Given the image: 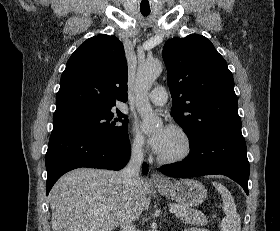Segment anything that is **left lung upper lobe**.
I'll use <instances>...</instances> for the list:
<instances>
[{"instance_id": "left-lung-upper-lobe-1", "label": "left lung upper lobe", "mask_w": 280, "mask_h": 231, "mask_svg": "<svg viewBox=\"0 0 280 231\" xmlns=\"http://www.w3.org/2000/svg\"><path fill=\"white\" fill-rule=\"evenodd\" d=\"M162 54L173 102L171 115L189 141L210 130L241 127L232 73L206 37L170 39Z\"/></svg>"}]
</instances>
